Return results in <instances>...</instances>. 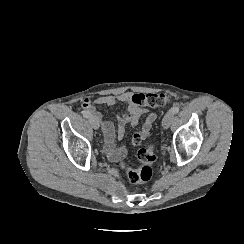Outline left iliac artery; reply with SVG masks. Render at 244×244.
Instances as JSON below:
<instances>
[{"instance_id": "left-iliac-artery-1", "label": "left iliac artery", "mask_w": 244, "mask_h": 244, "mask_svg": "<svg viewBox=\"0 0 244 244\" xmlns=\"http://www.w3.org/2000/svg\"><path fill=\"white\" fill-rule=\"evenodd\" d=\"M179 110H180L179 106H174L173 108H171V112L173 114H177L179 112Z\"/></svg>"}]
</instances>
